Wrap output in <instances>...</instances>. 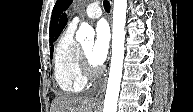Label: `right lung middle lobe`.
<instances>
[{"mask_svg":"<svg viewBox=\"0 0 193 112\" xmlns=\"http://www.w3.org/2000/svg\"><path fill=\"white\" fill-rule=\"evenodd\" d=\"M53 55V49L50 50V56L52 57Z\"/></svg>","mask_w":193,"mask_h":112,"instance_id":"dd1d6c3e","label":"right lung middle lobe"}]
</instances>
